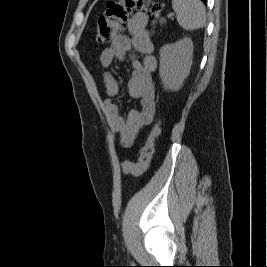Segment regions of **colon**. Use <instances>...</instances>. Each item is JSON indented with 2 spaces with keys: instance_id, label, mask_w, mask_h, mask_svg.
<instances>
[{
  "instance_id": "colon-1",
  "label": "colon",
  "mask_w": 267,
  "mask_h": 267,
  "mask_svg": "<svg viewBox=\"0 0 267 267\" xmlns=\"http://www.w3.org/2000/svg\"><path fill=\"white\" fill-rule=\"evenodd\" d=\"M134 10L143 11L155 23H163L161 17L162 6L153 0H109L105 13L98 18L97 42L107 44L125 27ZM160 122L157 121L151 129L144 145L140 148L137 162L125 160L121 163L124 173L139 176L149 167L155 140L160 134Z\"/></svg>"
}]
</instances>
